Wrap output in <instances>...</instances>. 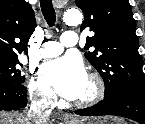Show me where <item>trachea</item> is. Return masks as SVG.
<instances>
[{
	"label": "trachea",
	"mask_w": 145,
	"mask_h": 124,
	"mask_svg": "<svg viewBox=\"0 0 145 124\" xmlns=\"http://www.w3.org/2000/svg\"><path fill=\"white\" fill-rule=\"evenodd\" d=\"M40 6L43 16L49 26H54L56 15L51 0H40Z\"/></svg>",
	"instance_id": "obj_1"
}]
</instances>
